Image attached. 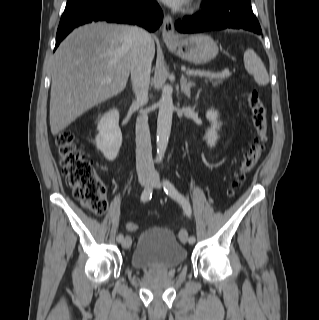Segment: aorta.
<instances>
[{"label": "aorta", "instance_id": "obj_1", "mask_svg": "<svg viewBox=\"0 0 319 320\" xmlns=\"http://www.w3.org/2000/svg\"><path fill=\"white\" fill-rule=\"evenodd\" d=\"M172 87L165 85L162 90V95L159 100V112L157 119V161H162L171 132L172 116H173V98H172Z\"/></svg>", "mask_w": 319, "mask_h": 320}]
</instances>
